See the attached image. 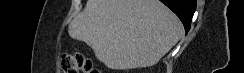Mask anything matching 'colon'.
Here are the masks:
<instances>
[{
	"mask_svg": "<svg viewBox=\"0 0 244 73\" xmlns=\"http://www.w3.org/2000/svg\"><path fill=\"white\" fill-rule=\"evenodd\" d=\"M60 65L64 73H99L91 59L80 52L62 55Z\"/></svg>",
	"mask_w": 244,
	"mask_h": 73,
	"instance_id": "5ec220e1",
	"label": "colon"
}]
</instances>
